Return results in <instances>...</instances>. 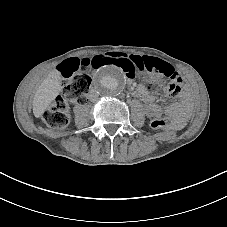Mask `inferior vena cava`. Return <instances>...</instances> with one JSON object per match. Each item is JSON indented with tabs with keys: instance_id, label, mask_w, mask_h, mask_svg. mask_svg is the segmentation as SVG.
Listing matches in <instances>:
<instances>
[{
	"instance_id": "1",
	"label": "inferior vena cava",
	"mask_w": 227,
	"mask_h": 227,
	"mask_svg": "<svg viewBox=\"0 0 227 227\" xmlns=\"http://www.w3.org/2000/svg\"><path fill=\"white\" fill-rule=\"evenodd\" d=\"M99 93L95 91L94 89H91L89 92V100L91 102H94L98 99Z\"/></svg>"
}]
</instances>
